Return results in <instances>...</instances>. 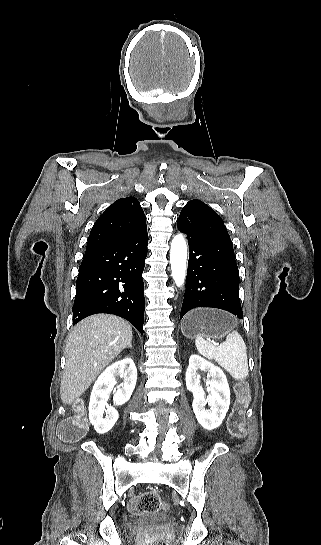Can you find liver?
Segmentation results:
<instances>
[{
    "mask_svg": "<svg viewBox=\"0 0 321 545\" xmlns=\"http://www.w3.org/2000/svg\"><path fill=\"white\" fill-rule=\"evenodd\" d=\"M132 329L114 315H93L74 327L65 349L60 397L65 405L79 399L101 371L132 341Z\"/></svg>",
    "mask_w": 321,
    "mask_h": 545,
    "instance_id": "liver-1",
    "label": "liver"
}]
</instances>
